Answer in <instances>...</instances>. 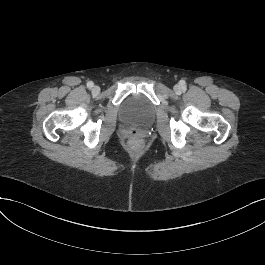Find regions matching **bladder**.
<instances>
[{
	"label": "bladder",
	"instance_id": "obj_1",
	"mask_svg": "<svg viewBox=\"0 0 265 265\" xmlns=\"http://www.w3.org/2000/svg\"><path fill=\"white\" fill-rule=\"evenodd\" d=\"M122 110L131 120H147L152 115L147 103L139 96L127 99L122 105Z\"/></svg>",
	"mask_w": 265,
	"mask_h": 265
}]
</instances>
